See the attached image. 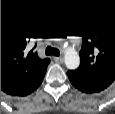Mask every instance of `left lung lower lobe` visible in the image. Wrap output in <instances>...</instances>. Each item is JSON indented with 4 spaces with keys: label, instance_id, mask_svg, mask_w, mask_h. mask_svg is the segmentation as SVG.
Returning <instances> with one entry per match:
<instances>
[{
    "label": "left lung lower lobe",
    "instance_id": "left-lung-lower-lobe-1",
    "mask_svg": "<svg viewBox=\"0 0 115 114\" xmlns=\"http://www.w3.org/2000/svg\"><path fill=\"white\" fill-rule=\"evenodd\" d=\"M67 75H68L70 82L73 84V86H75L77 89L85 93L99 92L109 86V85H106L100 82L78 79V78L71 76L68 73Z\"/></svg>",
    "mask_w": 115,
    "mask_h": 114
}]
</instances>
